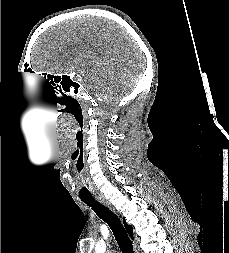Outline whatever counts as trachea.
I'll return each mask as SVG.
<instances>
[{
  "instance_id": "1",
  "label": "trachea",
  "mask_w": 229,
  "mask_h": 253,
  "mask_svg": "<svg viewBox=\"0 0 229 253\" xmlns=\"http://www.w3.org/2000/svg\"><path fill=\"white\" fill-rule=\"evenodd\" d=\"M80 199L91 207L100 219L109 225L122 253H134L132 242L120 219L107 207L98 203L93 197H84Z\"/></svg>"
}]
</instances>
